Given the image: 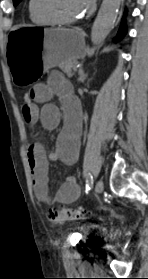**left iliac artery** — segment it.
Returning a JSON list of instances; mask_svg holds the SVG:
<instances>
[{"instance_id":"left-iliac-artery-1","label":"left iliac artery","mask_w":148,"mask_h":279,"mask_svg":"<svg viewBox=\"0 0 148 279\" xmlns=\"http://www.w3.org/2000/svg\"><path fill=\"white\" fill-rule=\"evenodd\" d=\"M91 187H92V181H91V176L89 174L86 181V193L90 190Z\"/></svg>"}]
</instances>
